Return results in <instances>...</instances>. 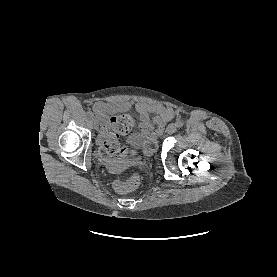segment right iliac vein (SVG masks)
Here are the masks:
<instances>
[{
	"mask_svg": "<svg viewBox=\"0 0 277 277\" xmlns=\"http://www.w3.org/2000/svg\"><path fill=\"white\" fill-rule=\"evenodd\" d=\"M93 126H94V129H98L99 125H98V122L96 119H93Z\"/></svg>",
	"mask_w": 277,
	"mask_h": 277,
	"instance_id": "obj_1",
	"label": "right iliac vein"
}]
</instances>
